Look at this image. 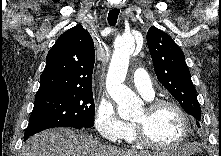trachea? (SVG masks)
Returning <instances> with one entry per match:
<instances>
[{
	"label": "trachea",
	"instance_id": "trachea-1",
	"mask_svg": "<svg viewBox=\"0 0 221 156\" xmlns=\"http://www.w3.org/2000/svg\"><path fill=\"white\" fill-rule=\"evenodd\" d=\"M120 10L119 9H112L108 13V23L110 26H115L117 23V19L119 16Z\"/></svg>",
	"mask_w": 221,
	"mask_h": 156
}]
</instances>
